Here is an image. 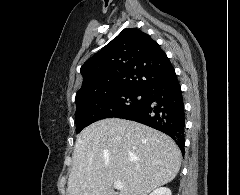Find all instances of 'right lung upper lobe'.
<instances>
[{
    "mask_svg": "<svg viewBox=\"0 0 240 195\" xmlns=\"http://www.w3.org/2000/svg\"><path fill=\"white\" fill-rule=\"evenodd\" d=\"M83 75L76 99L95 98L123 89L148 90L174 73L160 45L136 28H126L80 70Z\"/></svg>",
    "mask_w": 240,
    "mask_h": 195,
    "instance_id": "cb5924a9",
    "label": "right lung upper lobe"
}]
</instances>
